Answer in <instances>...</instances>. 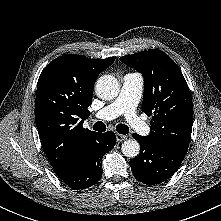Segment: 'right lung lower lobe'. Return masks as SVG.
Instances as JSON below:
<instances>
[{"label": "right lung lower lobe", "mask_w": 221, "mask_h": 221, "mask_svg": "<svg viewBox=\"0 0 221 221\" xmlns=\"http://www.w3.org/2000/svg\"><path fill=\"white\" fill-rule=\"evenodd\" d=\"M116 142L114 132L96 133L89 141L79 166L63 182L75 190H82L96 184L102 176L101 159L112 150Z\"/></svg>", "instance_id": "obj_1"}]
</instances>
